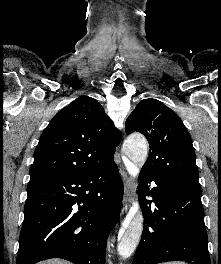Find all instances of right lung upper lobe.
<instances>
[{"label":"right lung upper lobe","instance_id":"right-lung-upper-lobe-1","mask_svg":"<svg viewBox=\"0 0 221 264\" xmlns=\"http://www.w3.org/2000/svg\"><path fill=\"white\" fill-rule=\"evenodd\" d=\"M121 138L100 103L81 96L60 110L41 134L29 184L102 166L113 158Z\"/></svg>","mask_w":221,"mask_h":264}]
</instances>
